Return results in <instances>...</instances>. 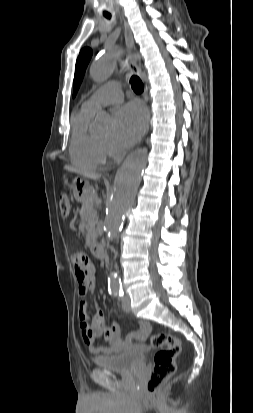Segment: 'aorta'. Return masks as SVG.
<instances>
[{
	"instance_id": "obj_1",
	"label": "aorta",
	"mask_w": 253,
	"mask_h": 413,
	"mask_svg": "<svg viewBox=\"0 0 253 413\" xmlns=\"http://www.w3.org/2000/svg\"><path fill=\"white\" fill-rule=\"evenodd\" d=\"M116 68L115 52H107L100 59L94 61L90 67V76L97 82L106 81ZM111 117L107 112H100L96 117V128L107 131L111 128ZM147 164V152L138 150L129 155L117 172L115 187L107 205L104 220V232L108 240H113L123 224L126 211L134 202L141 174ZM108 287L112 291L120 289V281L116 274L108 278Z\"/></svg>"
}]
</instances>
